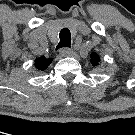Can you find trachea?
I'll use <instances>...</instances> for the list:
<instances>
[{"instance_id":"1","label":"trachea","mask_w":135,"mask_h":135,"mask_svg":"<svg viewBox=\"0 0 135 135\" xmlns=\"http://www.w3.org/2000/svg\"><path fill=\"white\" fill-rule=\"evenodd\" d=\"M60 42L58 43L56 49L70 47L71 44V33L68 28H63L59 34Z\"/></svg>"}]
</instances>
